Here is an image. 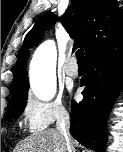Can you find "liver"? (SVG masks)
Returning <instances> with one entry per match:
<instances>
[{
	"label": "liver",
	"mask_w": 123,
	"mask_h": 152,
	"mask_svg": "<svg viewBox=\"0 0 123 152\" xmlns=\"http://www.w3.org/2000/svg\"><path fill=\"white\" fill-rule=\"evenodd\" d=\"M75 144L72 140L73 147ZM13 152H67V148L62 135L56 129H48L31 134Z\"/></svg>",
	"instance_id": "1"
}]
</instances>
